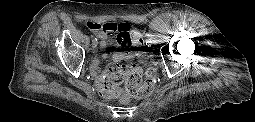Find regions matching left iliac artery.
I'll return each mask as SVG.
<instances>
[{
    "label": "left iliac artery",
    "mask_w": 255,
    "mask_h": 122,
    "mask_svg": "<svg viewBox=\"0 0 255 122\" xmlns=\"http://www.w3.org/2000/svg\"><path fill=\"white\" fill-rule=\"evenodd\" d=\"M152 43H153V42H152V40L147 39V41H146V45H147V46H151V45H152Z\"/></svg>",
    "instance_id": "44dca946"
}]
</instances>
